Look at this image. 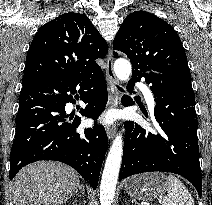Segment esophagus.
<instances>
[{
  "label": "esophagus",
  "mask_w": 212,
  "mask_h": 205,
  "mask_svg": "<svg viewBox=\"0 0 212 205\" xmlns=\"http://www.w3.org/2000/svg\"><path fill=\"white\" fill-rule=\"evenodd\" d=\"M106 77L109 91V104L111 107L116 108L119 105L120 96L116 88L117 80L113 71V56L111 50H109V53L106 58ZM115 133H116L115 125L109 126L107 128V136L109 139H112L115 136Z\"/></svg>",
  "instance_id": "obj_1"
}]
</instances>
